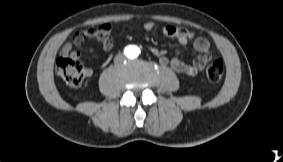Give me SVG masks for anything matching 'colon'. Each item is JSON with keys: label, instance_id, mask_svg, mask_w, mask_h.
Wrapping results in <instances>:
<instances>
[{"label": "colon", "instance_id": "1", "mask_svg": "<svg viewBox=\"0 0 283 162\" xmlns=\"http://www.w3.org/2000/svg\"><path fill=\"white\" fill-rule=\"evenodd\" d=\"M56 74L71 87L80 86L89 74V69L78 56H61L56 61ZM224 73L223 62L211 60L206 70L207 78L212 83L221 81Z\"/></svg>", "mask_w": 283, "mask_h": 162}]
</instances>
